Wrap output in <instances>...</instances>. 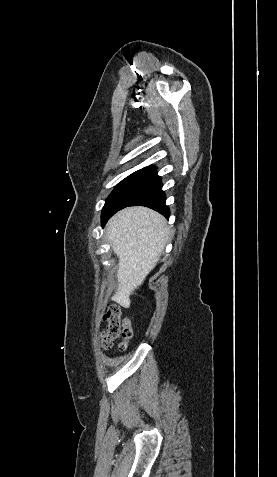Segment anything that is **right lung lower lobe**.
<instances>
[{
	"mask_svg": "<svg viewBox=\"0 0 277 477\" xmlns=\"http://www.w3.org/2000/svg\"><path fill=\"white\" fill-rule=\"evenodd\" d=\"M165 200L166 196L164 191H162V182L158 176L157 179L128 206H146L169 218L170 210L166 206Z\"/></svg>",
	"mask_w": 277,
	"mask_h": 477,
	"instance_id": "1",
	"label": "right lung lower lobe"
}]
</instances>
